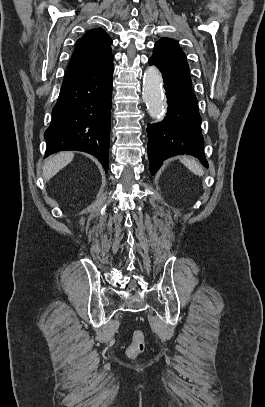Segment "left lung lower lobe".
<instances>
[{"mask_svg": "<svg viewBox=\"0 0 265 407\" xmlns=\"http://www.w3.org/2000/svg\"><path fill=\"white\" fill-rule=\"evenodd\" d=\"M148 62L162 72L168 104L164 120L147 127L151 173L154 174L165 159L184 153L197 157L208 166L204 156L198 102L191 82L160 67L153 58Z\"/></svg>", "mask_w": 265, "mask_h": 407, "instance_id": "obj_1", "label": "left lung lower lobe"}]
</instances>
